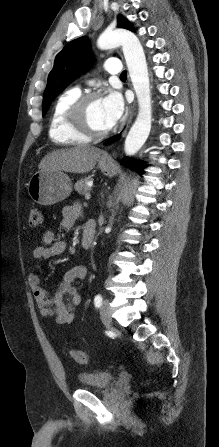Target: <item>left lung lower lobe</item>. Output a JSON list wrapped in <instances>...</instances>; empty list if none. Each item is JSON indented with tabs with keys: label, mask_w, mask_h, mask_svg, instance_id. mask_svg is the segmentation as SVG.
Segmentation results:
<instances>
[{
	"label": "left lung lower lobe",
	"mask_w": 219,
	"mask_h": 447,
	"mask_svg": "<svg viewBox=\"0 0 219 447\" xmlns=\"http://www.w3.org/2000/svg\"><path fill=\"white\" fill-rule=\"evenodd\" d=\"M118 137H119V135H117V136L111 138L110 140L107 141V143H110V142L114 141V140L117 139ZM122 164L125 165L126 167L136 168V167L133 166V165L131 166V162H130L127 158H124V159L122 160ZM136 169H137V170H140L139 168H136Z\"/></svg>",
	"instance_id": "1"
}]
</instances>
